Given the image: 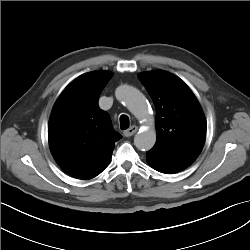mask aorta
I'll return each instance as SVG.
<instances>
[{"label": "aorta", "mask_w": 250, "mask_h": 250, "mask_svg": "<svg viewBox=\"0 0 250 250\" xmlns=\"http://www.w3.org/2000/svg\"><path fill=\"white\" fill-rule=\"evenodd\" d=\"M116 97L128 107L135 117L149 125L148 128L140 130L135 135L134 144L139 150H150L156 142V131L148 103L142 93L132 86L122 85L117 88Z\"/></svg>", "instance_id": "aorta-1"}]
</instances>
